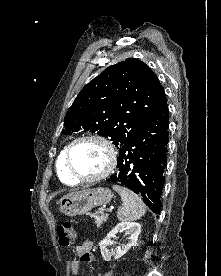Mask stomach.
<instances>
[{"label": "stomach", "instance_id": "0dacf381", "mask_svg": "<svg viewBox=\"0 0 221 276\" xmlns=\"http://www.w3.org/2000/svg\"><path fill=\"white\" fill-rule=\"evenodd\" d=\"M112 197L107 188L86 189L62 197L58 203L59 210L70 217L83 215L96 206L110 203Z\"/></svg>", "mask_w": 221, "mask_h": 276}]
</instances>
